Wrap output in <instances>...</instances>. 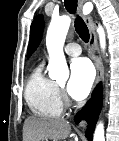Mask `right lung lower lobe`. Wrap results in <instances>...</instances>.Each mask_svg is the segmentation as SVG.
<instances>
[{
  "instance_id": "obj_1",
  "label": "right lung lower lobe",
  "mask_w": 119,
  "mask_h": 141,
  "mask_svg": "<svg viewBox=\"0 0 119 141\" xmlns=\"http://www.w3.org/2000/svg\"><path fill=\"white\" fill-rule=\"evenodd\" d=\"M103 93L102 85L99 83L91 99L86 104V106L75 115V122L78 124L81 120H86L88 123L86 137L89 141L92 140L95 124L97 122L101 107H102Z\"/></svg>"
}]
</instances>
